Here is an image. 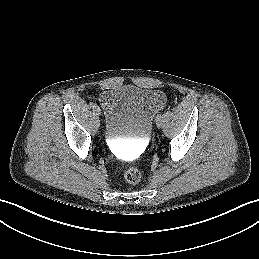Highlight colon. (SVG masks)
<instances>
[{
    "label": "colon",
    "mask_w": 259,
    "mask_h": 259,
    "mask_svg": "<svg viewBox=\"0 0 259 259\" xmlns=\"http://www.w3.org/2000/svg\"><path fill=\"white\" fill-rule=\"evenodd\" d=\"M124 179L130 185H136L141 180V173L137 168H129L124 172Z\"/></svg>",
    "instance_id": "5ec220e1"
}]
</instances>
